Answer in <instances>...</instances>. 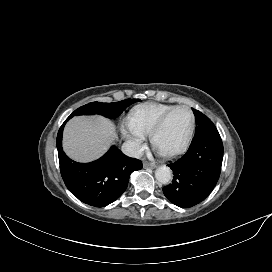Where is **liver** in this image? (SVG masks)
Wrapping results in <instances>:
<instances>
[{"mask_svg":"<svg viewBox=\"0 0 272 272\" xmlns=\"http://www.w3.org/2000/svg\"><path fill=\"white\" fill-rule=\"evenodd\" d=\"M117 139L115 125L102 116H78L65 126L63 148L75 161L90 162L102 156Z\"/></svg>","mask_w":272,"mask_h":272,"instance_id":"obj_1","label":"liver"}]
</instances>
